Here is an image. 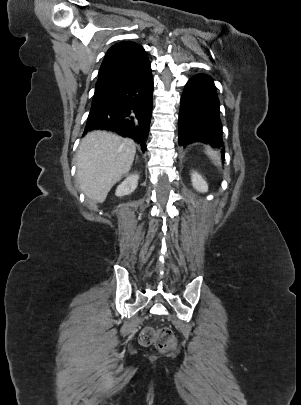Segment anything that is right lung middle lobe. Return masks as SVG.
I'll use <instances>...</instances> for the list:
<instances>
[{"mask_svg": "<svg viewBox=\"0 0 301 405\" xmlns=\"http://www.w3.org/2000/svg\"><path fill=\"white\" fill-rule=\"evenodd\" d=\"M106 94H95L93 97L92 105L101 100Z\"/></svg>", "mask_w": 301, "mask_h": 405, "instance_id": "right-lung-middle-lobe-1", "label": "right lung middle lobe"}]
</instances>
